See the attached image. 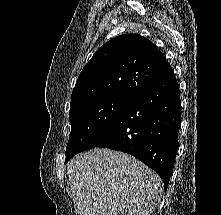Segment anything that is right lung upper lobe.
Here are the masks:
<instances>
[{
  "label": "right lung upper lobe",
  "instance_id": "right-lung-upper-lobe-1",
  "mask_svg": "<svg viewBox=\"0 0 221 215\" xmlns=\"http://www.w3.org/2000/svg\"><path fill=\"white\" fill-rule=\"evenodd\" d=\"M171 69L150 40L138 34L117 36L101 46L83 68L71 105L106 95L133 96Z\"/></svg>",
  "mask_w": 221,
  "mask_h": 215
}]
</instances>
